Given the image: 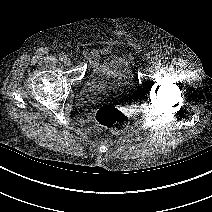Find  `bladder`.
Returning <instances> with one entry per match:
<instances>
[{
    "instance_id": "bladder-1",
    "label": "bladder",
    "mask_w": 212,
    "mask_h": 212,
    "mask_svg": "<svg viewBox=\"0 0 212 212\" xmlns=\"http://www.w3.org/2000/svg\"><path fill=\"white\" fill-rule=\"evenodd\" d=\"M134 92L135 82L129 61L113 56L90 71L76 101L83 107H91L104 102L126 101Z\"/></svg>"
}]
</instances>
